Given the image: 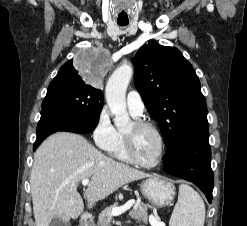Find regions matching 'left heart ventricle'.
I'll return each instance as SVG.
<instances>
[{
    "label": "left heart ventricle",
    "mask_w": 247,
    "mask_h": 226,
    "mask_svg": "<svg viewBox=\"0 0 247 226\" xmlns=\"http://www.w3.org/2000/svg\"><path fill=\"white\" fill-rule=\"evenodd\" d=\"M125 131L132 132L133 146L137 157L145 163H153L160 153V142L157 135L148 128L137 130L130 125Z\"/></svg>",
    "instance_id": "obj_1"
}]
</instances>
